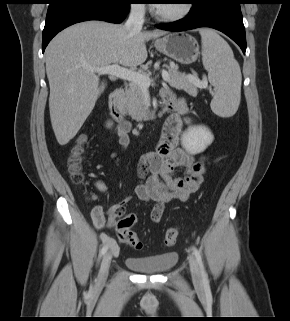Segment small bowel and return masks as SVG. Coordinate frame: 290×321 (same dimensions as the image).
<instances>
[{
  "label": "small bowel",
  "instance_id": "c3829d8e",
  "mask_svg": "<svg viewBox=\"0 0 290 321\" xmlns=\"http://www.w3.org/2000/svg\"><path fill=\"white\" fill-rule=\"evenodd\" d=\"M161 96L173 97L180 104H184L183 99L176 98L168 89H163ZM189 123V118L185 116V108L169 116L162 128L156 149L141 155L138 160L140 183L135 187V195L143 201L153 203L150 213L153 222L160 221L167 203L173 200L186 201L204 180V159L196 158L178 147L180 133ZM131 128L129 121H121L113 129L122 148H126L130 142ZM95 186L100 192L104 193L107 190L102 181H97ZM128 201L129 198H126L112 206L108 212L102 205L94 206L91 216L95 227L103 229L106 225L113 226L116 219L124 214ZM107 241L111 249L117 252L115 242L111 239Z\"/></svg>",
  "mask_w": 290,
  "mask_h": 321
}]
</instances>
